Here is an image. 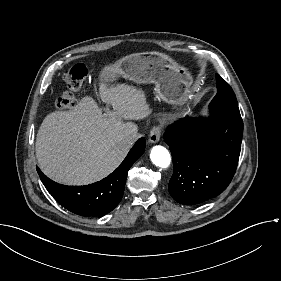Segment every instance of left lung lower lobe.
I'll list each match as a JSON object with an SVG mask.
<instances>
[{
	"instance_id": "left-lung-lower-lobe-1",
	"label": "left lung lower lobe",
	"mask_w": 281,
	"mask_h": 281,
	"mask_svg": "<svg viewBox=\"0 0 281 281\" xmlns=\"http://www.w3.org/2000/svg\"><path fill=\"white\" fill-rule=\"evenodd\" d=\"M209 118L180 119L164 135L173 159L169 192L180 204L196 205L222 193L231 182L241 149L238 105H210Z\"/></svg>"
}]
</instances>
